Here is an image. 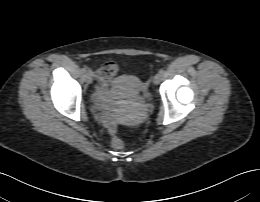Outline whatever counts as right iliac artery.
Listing matches in <instances>:
<instances>
[{
	"instance_id": "obj_1",
	"label": "right iliac artery",
	"mask_w": 260,
	"mask_h": 202,
	"mask_svg": "<svg viewBox=\"0 0 260 202\" xmlns=\"http://www.w3.org/2000/svg\"><path fill=\"white\" fill-rule=\"evenodd\" d=\"M82 72L86 73L87 72L86 68H82Z\"/></svg>"
}]
</instances>
